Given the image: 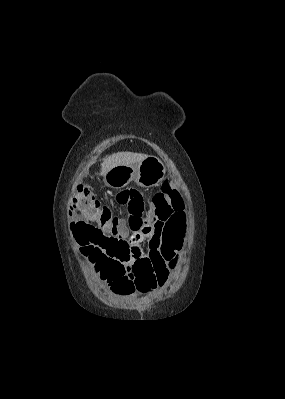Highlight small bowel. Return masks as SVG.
Listing matches in <instances>:
<instances>
[{
    "label": "small bowel",
    "mask_w": 285,
    "mask_h": 399,
    "mask_svg": "<svg viewBox=\"0 0 285 399\" xmlns=\"http://www.w3.org/2000/svg\"><path fill=\"white\" fill-rule=\"evenodd\" d=\"M160 222L159 218L156 214L155 211H150L148 213L147 217V222L143 225V228L141 229L140 232L134 233L133 239L136 241L140 240H147L149 243V248L147 250L142 249L141 247H137L138 249V254L141 257H149L150 253L152 250H158L162 243L164 242V234L161 230H158L156 228V224ZM187 222L185 218L182 220H179L174 226L173 230L178 231L184 234L186 230ZM119 235L121 236H127V231L125 229H119ZM90 264L96 269L100 270L102 272H106L109 269V266L105 262H98L97 260L90 261ZM123 272H121L120 276L115 280L116 282L122 281L124 278L129 279L130 275L128 273V266H124ZM110 289L112 290L111 286H109ZM113 294L117 297H126L127 295L121 292H114L112 290Z\"/></svg>",
    "instance_id": "1"
}]
</instances>
